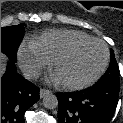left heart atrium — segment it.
I'll use <instances>...</instances> for the list:
<instances>
[{
  "mask_svg": "<svg viewBox=\"0 0 123 123\" xmlns=\"http://www.w3.org/2000/svg\"><path fill=\"white\" fill-rule=\"evenodd\" d=\"M55 80H57L58 81V79H57V77L55 76Z\"/></svg>",
  "mask_w": 123,
  "mask_h": 123,
  "instance_id": "left-heart-atrium-1",
  "label": "left heart atrium"
}]
</instances>
